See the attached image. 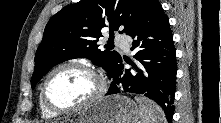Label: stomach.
Here are the masks:
<instances>
[{"label": "stomach", "mask_w": 221, "mask_h": 123, "mask_svg": "<svg viewBox=\"0 0 221 123\" xmlns=\"http://www.w3.org/2000/svg\"><path fill=\"white\" fill-rule=\"evenodd\" d=\"M139 108L129 97H104L75 113L64 123H137Z\"/></svg>", "instance_id": "0dacf381"}]
</instances>
